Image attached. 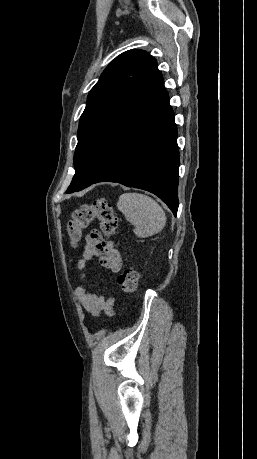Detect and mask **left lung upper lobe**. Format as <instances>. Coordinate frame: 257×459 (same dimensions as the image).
Segmentation results:
<instances>
[{
    "mask_svg": "<svg viewBox=\"0 0 257 459\" xmlns=\"http://www.w3.org/2000/svg\"><path fill=\"white\" fill-rule=\"evenodd\" d=\"M158 72L156 60L139 49L120 54L103 71L80 117L75 175L66 193L80 191L94 181L104 160L108 134Z\"/></svg>",
    "mask_w": 257,
    "mask_h": 459,
    "instance_id": "5c2ea615",
    "label": "left lung upper lobe"
}]
</instances>
